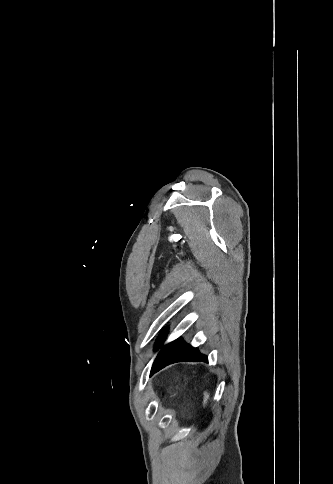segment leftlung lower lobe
Segmentation results:
<instances>
[{"instance_id": "1", "label": "left lung lower lobe", "mask_w": 333, "mask_h": 484, "mask_svg": "<svg viewBox=\"0 0 333 484\" xmlns=\"http://www.w3.org/2000/svg\"><path fill=\"white\" fill-rule=\"evenodd\" d=\"M168 329L165 328L161 332L160 336L156 341V349L161 346L163 341L166 338ZM208 357L201 354L197 348L192 347L189 344H186L182 338H178L175 341L169 343L158 354L157 358L154 361V364L151 369V374L159 371L160 369L164 368L165 366L180 362V361H207Z\"/></svg>"}]
</instances>
